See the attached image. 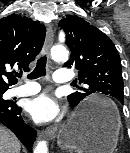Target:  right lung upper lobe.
I'll return each mask as SVG.
<instances>
[{
    "label": "right lung upper lobe",
    "mask_w": 130,
    "mask_h": 153,
    "mask_svg": "<svg viewBox=\"0 0 130 153\" xmlns=\"http://www.w3.org/2000/svg\"><path fill=\"white\" fill-rule=\"evenodd\" d=\"M45 26L28 17L12 14L0 19V91L17 82L12 68L28 71L42 49Z\"/></svg>",
    "instance_id": "cb5924a9"
}]
</instances>
